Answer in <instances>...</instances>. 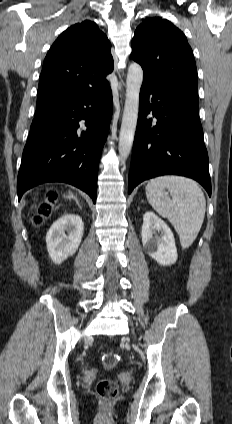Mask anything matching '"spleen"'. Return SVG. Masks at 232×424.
Returning <instances> with one entry per match:
<instances>
[{"label":"spleen","instance_id":"1","mask_svg":"<svg viewBox=\"0 0 232 424\" xmlns=\"http://www.w3.org/2000/svg\"><path fill=\"white\" fill-rule=\"evenodd\" d=\"M164 188L172 199L163 192ZM146 197L154 210L173 225L182 248L190 247L201 229L206 211V200L199 185L187 177L161 176L147 184Z\"/></svg>","mask_w":232,"mask_h":424}]
</instances>
